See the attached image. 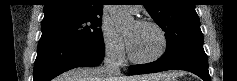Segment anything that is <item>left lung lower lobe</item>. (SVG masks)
Segmentation results:
<instances>
[{
	"mask_svg": "<svg viewBox=\"0 0 237 81\" xmlns=\"http://www.w3.org/2000/svg\"><path fill=\"white\" fill-rule=\"evenodd\" d=\"M166 70H185L198 75L204 81H211L203 44L189 47L172 59L161 57L152 63L130 66V71L134 74Z\"/></svg>",
	"mask_w": 237,
	"mask_h": 81,
	"instance_id": "left-lung-lower-lobe-1",
	"label": "left lung lower lobe"
}]
</instances>
